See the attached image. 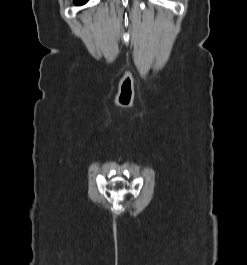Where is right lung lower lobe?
<instances>
[{"label": "right lung lower lobe", "instance_id": "98d812e1", "mask_svg": "<svg viewBox=\"0 0 247 265\" xmlns=\"http://www.w3.org/2000/svg\"><path fill=\"white\" fill-rule=\"evenodd\" d=\"M88 0H74L75 4L77 5H81V4H84L86 3Z\"/></svg>", "mask_w": 247, "mask_h": 265}]
</instances>
